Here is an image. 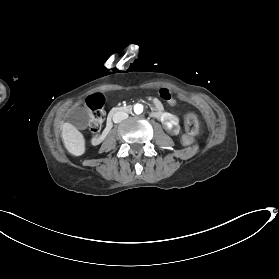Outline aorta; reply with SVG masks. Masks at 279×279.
Returning <instances> with one entry per match:
<instances>
[{
	"label": "aorta",
	"mask_w": 279,
	"mask_h": 279,
	"mask_svg": "<svg viewBox=\"0 0 279 279\" xmlns=\"http://www.w3.org/2000/svg\"><path fill=\"white\" fill-rule=\"evenodd\" d=\"M134 112H135L136 114H141V113L143 112V105H141V104H136V105L134 106Z\"/></svg>",
	"instance_id": "obj_1"
}]
</instances>
